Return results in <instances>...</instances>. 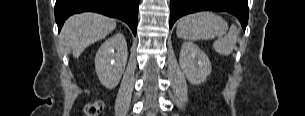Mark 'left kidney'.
<instances>
[{
    "instance_id": "left-kidney-1",
    "label": "left kidney",
    "mask_w": 305,
    "mask_h": 116,
    "mask_svg": "<svg viewBox=\"0 0 305 116\" xmlns=\"http://www.w3.org/2000/svg\"><path fill=\"white\" fill-rule=\"evenodd\" d=\"M179 64L187 80L193 85L203 83L212 70L207 55L192 42L182 44Z\"/></svg>"
}]
</instances>
